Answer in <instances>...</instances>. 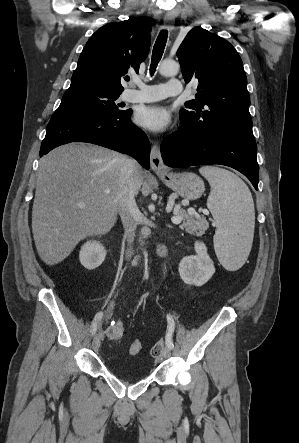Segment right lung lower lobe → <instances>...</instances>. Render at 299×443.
Segmentation results:
<instances>
[{
	"label": "right lung lower lobe",
	"mask_w": 299,
	"mask_h": 443,
	"mask_svg": "<svg viewBox=\"0 0 299 443\" xmlns=\"http://www.w3.org/2000/svg\"><path fill=\"white\" fill-rule=\"evenodd\" d=\"M131 114V109L119 114L57 109L47 126L39 155L70 142H87L131 155L149 169L150 143L131 122Z\"/></svg>",
	"instance_id": "98d812e1"
}]
</instances>
